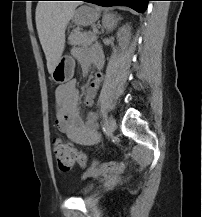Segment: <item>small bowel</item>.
<instances>
[{
    "mask_svg": "<svg viewBox=\"0 0 202 217\" xmlns=\"http://www.w3.org/2000/svg\"><path fill=\"white\" fill-rule=\"evenodd\" d=\"M73 56L78 61L83 73L94 64L96 73L94 78L87 84L82 96L77 88V81L72 79L65 84L59 85L55 90V124L58 129L65 133L71 141L85 146H96L100 143V136L96 130L98 115L88 112L84 119L80 113L79 104L92 105L102 80V58L83 49H73Z\"/></svg>",
    "mask_w": 202,
    "mask_h": 217,
    "instance_id": "c3829d8e",
    "label": "small bowel"
}]
</instances>
